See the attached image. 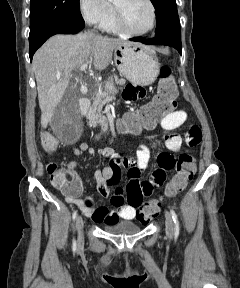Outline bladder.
<instances>
[{
	"label": "bladder",
	"instance_id": "bladder-1",
	"mask_svg": "<svg viewBox=\"0 0 240 288\" xmlns=\"http://www.w3.org/2000/svg\"><path fill=\"white\" fill-rule=\"evenodd\" d=\"M104 231L112 234H135L141 230V227L130 221H121L104 226Z\"/></svg>",
	"mask_w": 240,
	"mask_h": 288
}]
</instances>
